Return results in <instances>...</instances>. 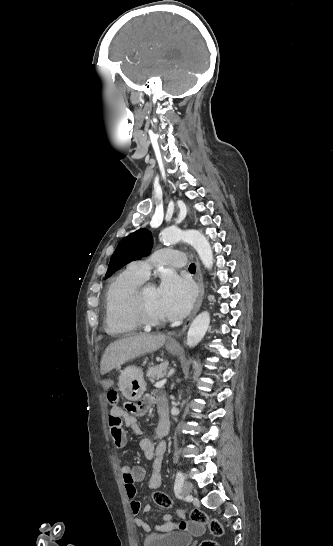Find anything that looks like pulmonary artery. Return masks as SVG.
<instances>
[{"label":"pulmonary artery","mask_w":333,"mask_h":546,"mask_svg":"<svg viewBox=\"0 0 333 546\" xmlns=\"http://www.w3.org/2000/svg\"><path fill=\"white\" fill-rule=\"evenodd\" d=\"M166 264L173 267L185 266V255L180 251L160 249L150 258L135 261L132 266L146 279L154 264Z\"/></svg>","instance_id":"e3ab8cb5"}]
</instances>
